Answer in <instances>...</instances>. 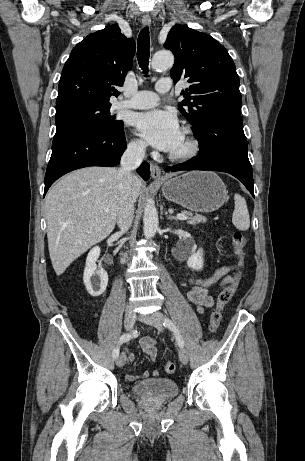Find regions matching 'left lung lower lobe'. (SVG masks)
Returning <instances> with one entry per match:
<instances>
[{"label":"left lung lower lobe","mask_w":305,"mask_h":461,"mask_svg":"<svg viewBox=\"0 0 305 461\" xmlns=\"http://www.w3.org/2000/svg\"><path fill=\"white\" fill-rule=\"evenodd\" d=\"M199 153L184 163L168 167L167 172L212 170L238 178L254 196L252 167L248 159L247 140L240 113H227L207 119L193 132Z\"/></svg>","instance_id":"left-lung-lower-lobe-1"}]
</instances>
